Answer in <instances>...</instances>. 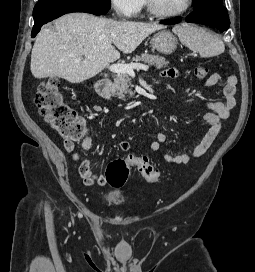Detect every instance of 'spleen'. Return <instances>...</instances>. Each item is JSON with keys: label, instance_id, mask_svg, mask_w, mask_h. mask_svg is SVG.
I'll list each match as a JSON object with an SVG mask.
<instances>
[{"label": "spleen", "instance_id": "1", "mask_svg": "<svg viewBox=\"0 0 255 272\" xmlns=\"http://www.w3.org/2000/svg\"><path fill=\"white\" fill-rule=\"evenodd\" d=\"M180 42L192 51L198 52L201 57H212L224 52L223 41L210 31L183 23L173 28Z\"/></svg>", "mask_w": 255, "mask_h": 272}]
</instances>
